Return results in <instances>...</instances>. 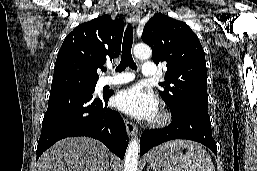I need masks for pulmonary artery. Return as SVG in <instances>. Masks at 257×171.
<instances>
[{"label":"pulmonary artery","instance_id":"1","mask_svg":"<svg viewBox=\"0 0 257 171\" xmlns=\"http://www.w3.org/2000/svg\"><path fill=\"white\" fill-rule=\"evenodd\" d=\"M142 74L145 77H153L156 74V64L153 62H145L142 67ZM135 78L133 73L122 72L113 77H104L102 85H119L133 81Z\"/></svg>","mask_w":257,"mask_h":171}]
</instances>
